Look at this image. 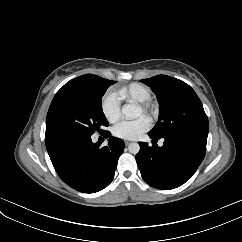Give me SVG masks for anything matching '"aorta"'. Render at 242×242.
Returning a JSON list of instances; mask_svg holds the SVG:
<instances>
[{"instance_id":"762f6f07","label":"aorta","mask_w":242,"mask_h":242,"mask_svg":"<svg viewBox=\"0 0 242 242\" xmlns=\"http://www.w3.org/2000/svg\"><path fill=\"white\" fill-rule=\"evenodd\" d=\"M122 114L124 117L131 119L139 116L140 109L139 107L133 105V104H126L122 108ZM128 150L132 154H137L140 150V146L138 143H130L128 146Z\"/></svg>"}]
</instances>
